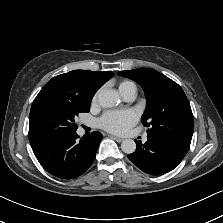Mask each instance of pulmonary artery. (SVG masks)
Listing matches in <instances>:
<instances>
[{
    "mask_svg": "<svg viewBox=\"0 0 223 223\" xmlns=\"http://www.w3.org/2000/svg\"><path fill=\"white\" fill-rule=\"evenodd\" d=\"M123 97L127 100V101H132L135 99L136 97V89L135 88H129L125 91L122 92ZM141 141L143 143H148L150 141V136L148 134H143L141 136Z\"/></svg>",
    "mask_w": 223,
    "mask_h": 223,
    "instance_id": "e3ab8cb5",
    "label": "pulmonary artery"
}]
</instances>
